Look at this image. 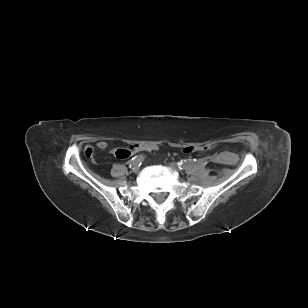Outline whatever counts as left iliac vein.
I'll list each match as a JSON object with an SVG mask.
<instances>
[{
    "mask_svg": "<svg viewBox=\"0 0 308 308\" xmlns=\"http://www.w3.org/2000/svg\"><path fill=\"white\" fill-rule=\"evenodd\" d=\"M168 166L171 168V169H174V170H178L180 171L181 169L179 168V166L175 163H169Z\"/></svg>",
    "mask_w": 308,
    "mask_h": 308,
    "instance_id": "left-iliac-vein-1",
    "label": "left iliac vein"
}]
</instances>
